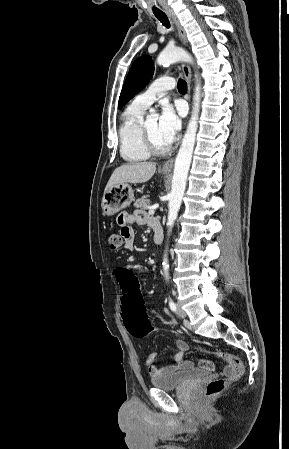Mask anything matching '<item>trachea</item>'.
Segmentation results:
<instances>
[{
    "label": "trachea",
    "instance_id": "1",
    "mask_svg": "<svg viewBox=\"0 0 289 449\" xmlns=\"http://www.w3.org/2000/svg\"><path fill=\"white\" fill-rule=\"evenodd\" d=\"M155 16L165 27H170V22L166 14L155 13ZM177 88L179 92H187V83L184 80L180 79L178 81Z\"/></svg>",
    "mask_w": 289,
    "mask_h": 449
}]
</instances>
